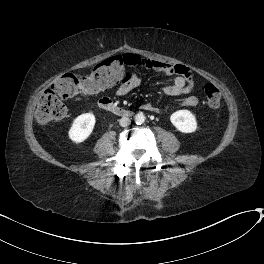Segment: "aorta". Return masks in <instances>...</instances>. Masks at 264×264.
Masks as SVG:
<instances>
[{
	"instance_id": "aorta-1",
	"label": "aorta",
	"mask_w": 264,
	"mask_h": 264,
	"mask_svg": "<svg viewBox=\"0 0 264 264\" xmlns=\"http://www.w3.org/2000/svg\"><path fill=\"white\" fill-rule=\"evenodd\" d=\"M135 123L140 125L145 121V116L142 113H138L134 117Z\"/></svg>"
}]
</instances>
